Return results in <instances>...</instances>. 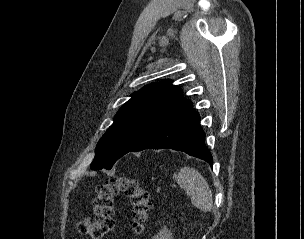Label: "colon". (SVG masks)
I'll list each match as a JSON object with an SVG mask.
<instances>
[{
  "label": "colon",
  "mask_w": 304,
  "mask_h": 239,
  "mask_svg": "<svg viewBox=\"0 0 304 239\" xmlns=\"http://www.w3.org/2000/svg\"><path fill=\"white\" fill-rule=\"evenodd\" d=\"M124 195L132 206L133 230L142 234L152 207L151 197L139 181L129 176H116L106 180L96 188L93 199V219H79L76 228L90 239H104L114 227V199Z\"/></svg>",
  "instance_id": "1"
}]
</instances>
